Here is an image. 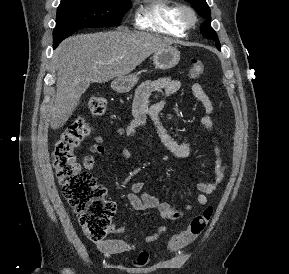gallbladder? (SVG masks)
Masks as SVG:
<instances>
[{"mask_svg": "<svg viewBox=\"0 0 289 274\" xmlns=\"http://www.w3.org/2000/svg\"><path fill=\"white\" fill-rule=\"evenodd\" d=\"M89 87L88 83H80L76 88V94L81 96V94Z\"/></svg>", "mask_w": 289, "mask_h": 274, "instance_id": "gallbladder-1", "label": "gallbladder"}]
</instances>
